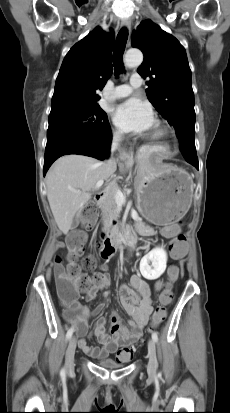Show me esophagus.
<instances>
[{"label": "esophagus", "mask_w": 230, "mask_h": 413, "mask_svg": "<svg viewBox=\"0 0 230 413\" xmlns=\"http://www.w3.org/2000/svg\"><path fill=\"white\" fill-rule=\"evenodd\" d=\"M122 26L130 30L131 28V20L130 19H124L122 21Z\"/></svg>", "instance_id": "esophagus-1"}]
</instances>
